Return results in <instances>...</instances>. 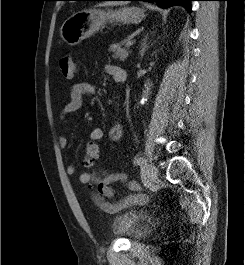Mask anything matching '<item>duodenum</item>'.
Listing matches in <instances>:
<instances>
[{
  "label": "duodenum",
  "mask_w": 245,
  "mask_h": 265,
  "mask_svg": "<svg viewBox=\"0 0 245 265\" xmlns=\"http://www.w3.org/2000/svg\"><path fill=\"white\" fill-rule=\"evenodd\" d=\"M125 80H126V77H125ZM125 80H124V81H125ZM124 81L120 79V80H119V83L124 82Z\"/></svg>",
  "instance_id": "duodenum-1"
}]
</instances>
